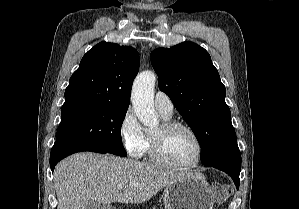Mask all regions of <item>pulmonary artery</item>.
Wrapping results in <instances>:
<instances>
[{
    "instance_id": "obj_1",
    "label": "pulmonary artery",
    "mask_w": 299,
    "mask_h": 209,
    "mask_svg": "<svg viewBox=\"0 0 299 209\" xmlns=\"http://www.w3.org/2000/svg\"><path fill=\"white\" fill-rule=\"evenodd\" d=\"M154 105L157 111L166 118H170L173 115V103L170 97L162 92L158 91L154 96Z\"/></svg>"
}]
</instances>
